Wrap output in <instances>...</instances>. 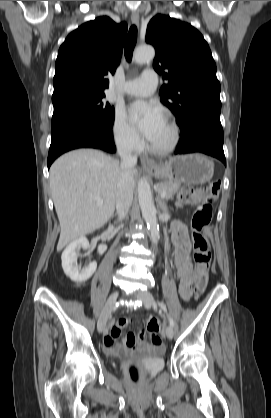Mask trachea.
I'll return each instance as SVG.
<instances>
[{
  "label": "trachea",
  "instance_id": "3493384b",
  "mask_svg": "<svg viewBox=\"0 0 271 418\" xmlns=\"http://www.w3.org/2000/svg\"><path fill=\"white\" fill-rule=\"evenodd\" d=\"M137 41V28L132 25L129 29L126 42H125V57L128 62L132 60V53Z\"/></svg>",
  "mask_w": 271,
  "mask_h": 418
}]
</instances>
